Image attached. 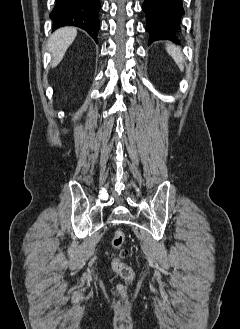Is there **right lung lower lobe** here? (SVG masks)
I'll use <instances>...</instances> for the list:
<instances>
[{
	"mask_svg": "<svg viewBox=\"0 0 240 329\" xmlns=\"http://www.w3.org/2000/svg\"><path fill=\"white\" fill-rule=\"evenodd\" d=\"M100 7V0H56L50 13L53 31L63 26H75L85 30L97 42Z\"/></svg>",
	"mask_w": 240,
	"mask_h": 329,
	"instance_id": "98d812e1",
	"label": "right lung lower lobe"
}]
</instances>
